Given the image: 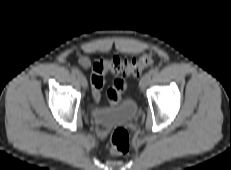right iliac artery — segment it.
<instances>
[{
    "mask_svg": "<svg viewBox=\"0 0 231 170\" xmlns=\"http://www.w3.org/2000/svg\"><path fill=\"white\" fill-rule=\"evenodd\" d=\"M80 72H79V70L77 69V68H73L72 69V74L73 75H78Z\"/></svg>",
    "mask_w": 231,
    "mask_h": 170,
    "instance_id": "right-iliac-artery-1",
    "label": "right iliac artery"
}]
</instances>
